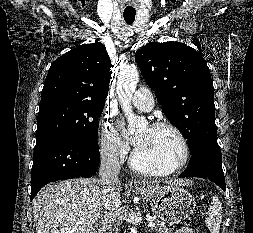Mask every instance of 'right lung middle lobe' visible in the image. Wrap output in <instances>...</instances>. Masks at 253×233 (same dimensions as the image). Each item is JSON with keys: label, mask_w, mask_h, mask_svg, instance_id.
<instances>
[{"label": "right lung middle lobe", "mask_w": 253, "mask_h": 233, "mask_svg": "<svg viewBox=\"0 0 253 233\" xmlns=\"http://www.w3.org/2000/svg\"><path fill=\"white\" fill-rule=\"evenodd\" d=\"M104 104L92 101L49 100L40 103L37 141L64 138L89 148H98V118Z\"/></svg>", "instance_id": "dd1d6c3e"}]
</instances>
